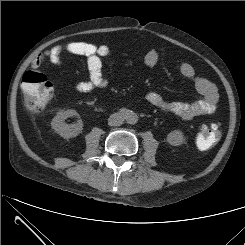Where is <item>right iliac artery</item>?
<instances>
[{
	"instance_id": "82829eb1",
	"label": "right iliac artery",
	"mask_w": 245,
	"mask_h": 245,
	"mask_svg": "<svg viewBox=\"0 0 245 245\" xmlns=\"http://www.w3.org/2000/svg\"><path fill=\"white\" fill-rule=\"evenodd\" d=\"M120 112H121L122 114H127V111H126L125 109H122Z\"/></svg>"
}]
</instances>
